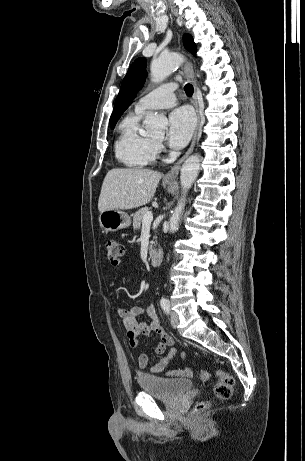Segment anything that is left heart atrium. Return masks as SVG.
<instances>
[{
  "label": "left heart atrium",
  "mask_w": 305,
  "mask_h": 461,
  "mask_svg": "<svg viewBox=\"0 0 305 461\" xmlns=\"http://www.w3.org/2000/svg\"><path fill=\"white\" fill-rule=\"evenodd\" d=\"M195 127V118L187 107L171 112L168 119L167 141L172 148H182L190 140Z\"/></svg>",
  "instance_id": "obj_1"
}]
</instances>
